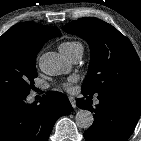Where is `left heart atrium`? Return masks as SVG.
<instances>
[{"instance_id":"1","label":"left heart atrium","mask_w":141,"mask_h":141,"mask_svg":"<svg viewBox=\"0 0 141 141\" xmlns=\"http://www.w3.org/2000/svg\"><path fill=\"white\" fill-rule=\"evenodd\" d=\"M73 80H69L68 82H65L62 87L67 90L70 91L71 90V84H72Z\"/></svg>"}]
</instances>
